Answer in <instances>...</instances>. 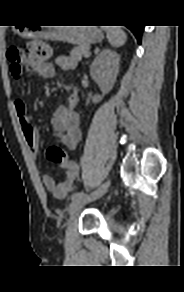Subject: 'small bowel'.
Returning <instances> with one entry per match:
<instances>
[{"instance_id":"small-bowel-1","label":"small bowel","mask_w":184,"mask_h":292,"mask_svg":"<svg viewBox=\"0 0 184 292\" xmlns=\"http://www.w3.org/2000/svg\"><path fill=\"white\" fill-rule=\"evenodd\" d=\"M56 65L63 69H72L75 66V61L70 57L60 56L56 59L55 63L44 62L34 67L32 72L39 78L48 79L55 75ZM76 99V93H72L67 99L66 105L58 107L52 117L54 140L70 150H74L77 147L81 138L79 115L74 111ZM14 109L18 116L26 145L30 153L35 156L39 150L40 139L31 121V116L26 110L25 102L22 99L15 100ZM62 167L65 169L64 180L62 182L56 183L49 175H44L42 178L45 188L57 198L65 197L77 186L78 164L70 160L63 164Z\"/></svg>"}]
</instances>
